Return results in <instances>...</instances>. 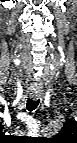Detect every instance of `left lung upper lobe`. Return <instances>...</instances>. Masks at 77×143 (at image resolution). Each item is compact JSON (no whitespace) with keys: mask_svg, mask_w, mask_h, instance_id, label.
Listing matches in <instances>:
<instances>
[{"mask_svg":"<svg viewBox=\"0 0 77 143\" xmlns=\"http://www.w3.org/2000/svg\"><path fill=\"white\" fill-rule=\"evenodd\" d=\"M58 138L62 140L73 141L77 139V122L69 120L64 123L61 131L58 134Z\"/></svg>","mask_w":77,"mask_h":143,"instance_id":"1","label":"left lung upper lobe"}]
</instances>
